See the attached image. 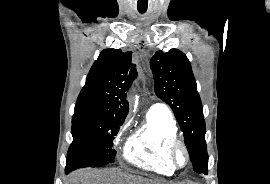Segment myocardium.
Instances as JSON below:
<instances>
[{"instance_id":"1","label":"myocardium","mask_w":270,"mask_h":184,"mask_svg":"<svg viewBox=\"0 0 270 184\" xmlns=\"http://www.w3.org/2000/svg\"><path fill=\"white\" fill-rule=\"evenodd\" d=\"M179 151H182L185 155V161L180 164L177 159ZM169 159L175 169H182L188 166L190 162V152L187 145L179 138H176L169 148Z\"/></svg>"}]
</instances>
